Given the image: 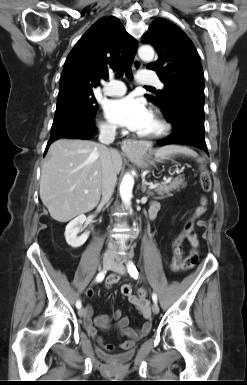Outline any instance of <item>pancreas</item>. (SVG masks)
Wrapping results in <instances>:
<instances>
[{"instance_id": "obj_1", "label": "pancreas", "mask_w": 247, "mask_h": 385, "mask_svg": "<svg viewBox=\"0 0 247 385\" xmlns=\"http://www.w3.org/2000/svg\"><path fill=\"white\" fill-rule=\"evenodd\" d=\"M186 185L187 184L185 182V179L183 178V176L180 175L174 178L169 183L159 184L156 188H154V191L161 197H164L165 194L167 196H170L172 191H179L180 188H185Z\"/></svg>"}]
</instances>
